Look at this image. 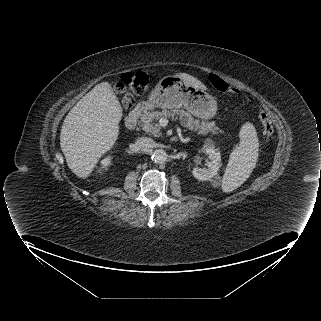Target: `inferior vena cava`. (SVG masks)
<instances>
[{
	"label": "inferior vena cava",
	"mask_w": 321,
	"mask_h": 321,
	"mask_svg": "<svg viewBox=\"0 0 321 321\" xmlns=\"http://www.w3.org/2000/svg\"><path fill=\"white\" fill-rule=\"evenodd\" d=\"M155 142L149 137H141L136 140V146L139 150H148L153 148Z\"/></svg>",
	"instance_id": "inferior-vena-cava-1"
}]
</instances>
